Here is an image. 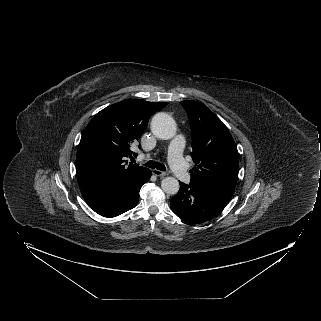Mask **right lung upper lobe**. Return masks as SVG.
<instances>
[{"label": "right lung upper lobe", "mask_w": 321, "mask_h": 321, "mask_svg": "<svg viewBox=\"0 0 321 321\" xmlns=\"http://www.w3.org/2000/svg\"><path fill=\"white\" fill-rule=\"evenodd\" d=\"M164 102L129 99L98 112L85 128L77 151L76 169L82 189L96 184L136 177L147 170L137 164L126 166L130 145L145 131L153 113Z\"/></svg>", "instance_id": "cb5924a9"}]
</instances>
